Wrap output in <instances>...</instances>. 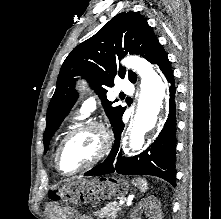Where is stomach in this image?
<instances>
[{"instance_id": "1", "label": "stomach", "mask_w": 221, "mask_h": 219, "mask_svg": "<svg viewBox=\"0 0 221 219\" xmlns=\"http://www.w3.org/2000/svg\"><path fill=\"white\" fill-rule=\"evenodd\" d=\"M128 188L126 181L115 178H75L58 190L71 204H92L96 199H121Z\"/></svg>"}]
</instances>
